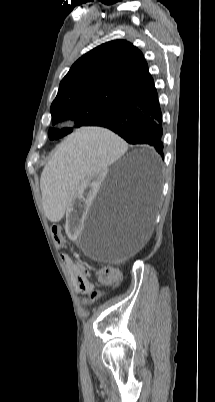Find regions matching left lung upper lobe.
Returning <instances> with one entry per match:
<instances>
[{
	"mask_svg": "<svg viewBox=\"0 0 215 402\" xmlns=\"http://www.w3.org/2000/svg\"><path fill=\"white\" fill-rule=\"evenodd\" d=\"M150 76L140 50L125 40L102 44L79 58L60 82L50 112L52 124L71 119L96 126L132 97ZM73 131L50 128L51 140Z\"/></svg>",
	"mask_w": 215,
	"mask_h": 402,
	"instance_id": "obj_1",
	"label": "left lung upper lobe"
}]
</instances>
